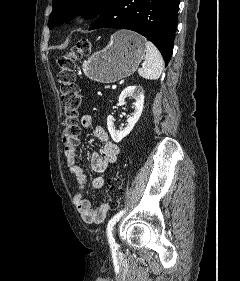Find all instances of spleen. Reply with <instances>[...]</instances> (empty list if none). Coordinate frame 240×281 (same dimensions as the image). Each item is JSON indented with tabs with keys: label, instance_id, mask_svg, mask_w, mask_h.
Here are the masks:
<instances>
[{
	"label": "spleen",
	"instance_id": "obj_1",
	"mask_svg": "<svg viewBox=\"0 0 240 281\" xmlns=\"http://www.w3.org/2000/svg\"><path fill=\"white\" fill-rule=\"evenodd\" d=\"M145 47V60L142 67L138 69V74L145 79L156 80L163 71V58L159 50L150 41H145Z\"/></svg>",
	"mask_w": 240,
	"mask_h": 281
}]
</instances>
